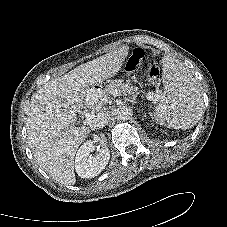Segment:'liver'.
Segmentation results:
<instances>
[{"instance_id": "liver-1", "label": "liver", "mask_w": 227, "mask_h": 227, "mask_svg": "<svg viewBox=\"0 0 227 227\" xmlns=\"http://www.w3.org/2000/svg\"><path fill=\"white\" fill-rule=\"evenodd\" d=\"M128 50L122 46L81 64L32 95L26 122L29 146L38 165L57 182L75 184L74 157L90 133L89 127L74 125L77 113L93 107L87 101L90 87L116 75Z\"/></svg>"}]
</instances>
